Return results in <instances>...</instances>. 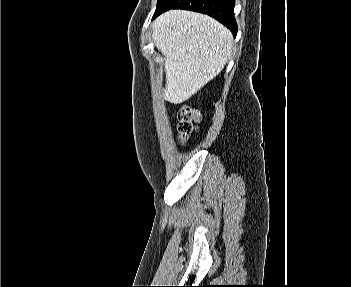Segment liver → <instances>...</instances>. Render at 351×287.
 Masks as SVG:
<instances>
[{"label": "liver", "mask_w": 351, "mask_h": 287, "mask_svg": "<svg viewBox=\"0 0 351 287\" xmlns=\"http://www.w3.org/2000/svg\"><path fill=\"white\" fill-rule=\"evenodd\" d=\"M153 41L165 57L164 99L179 104L214 79L231 56L232 33L215 19L170 10L153 23Z\"/></svg>", "instance_id": "obj_1"}]
</instances>
